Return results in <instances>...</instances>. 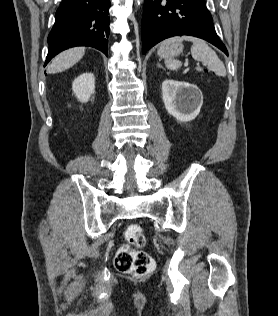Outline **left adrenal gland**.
<instances>
[{"instance_id":"obj_1","label":"left adrenal gland","mask_w":278,"mask_h":316,"mask_svg":"<svg viewBox=\"0 0 278 316\" xmlns=\"http://www.w3.org/2000/svg\"><path fill=\"white\" fill-rule=\"evenodd\" d=\"M158 67L163 68L160 64H157ZM164 69V68H163Z\"/></svg>"}]
</instances>
